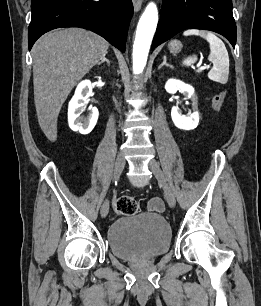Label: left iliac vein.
<instances>
[{
	"instance_id": "4c4485c4",
	"label": "left iliac vein",
	"mask_w": 261,
	"mask_h": 306,
	"mask_svg": "<svg viewBox=\"0 0 261 306\" xmlns=\"http://www.w3.org/2000/svg\"><path fill=\"white\" fill-rule=\"evenodd\" d=\"M148 167L153 172L155 178L158 180V182L163 187L164 195H165V198L167 200V203L169 204V206L171 208H174L175 205H176L175 195H174L172 189L170 188V186H169V184L166 180V177H165L163 171L161 170L159 164L155 160H150L149 163H148Z\"/></svg>"
}]
</instances>
